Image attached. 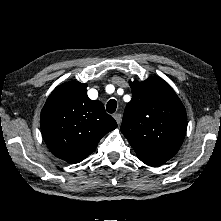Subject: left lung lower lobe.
<instances>
[{
	"label": "left lung lower lobe",
	"instance_id": "left-lung-lower-lobe-1",
	"mask_svg": "<svg viewBox=\"0 0 221 221\" xmlns=\"http://www.w3.org/2000/svg\"><path fill=\"white\" fill-rule=\"evenodd\" d=\"M145 164L149 165V166H152V167H158L160 166L159 164H154V163H147V162H144Z\"/></svg>",
	"mask_w": 221,
	"mask_h": 221
}]
</instances>
